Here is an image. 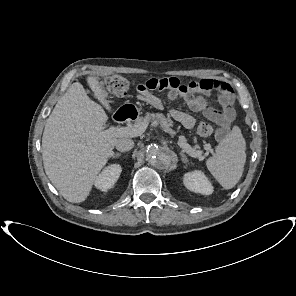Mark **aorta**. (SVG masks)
Wrapping results in <instances>:
<instances>
[{
    "label": "aorta",
    "mask_w": 296,
    "mask_h": 296,
    "mask_svg": "<svg viewBox=\"0 0 296 296\" xmlns=\"http://www.w3.org/2000/svg\"><path fill=\"white\" fill-rule=\"evenodd\" d=\"M146 158L157 169H164L172 162L170 151L156 144H151L146 148Z\"/></svg>",
    "instance_id": "aorta-1"
}]
</instances>
